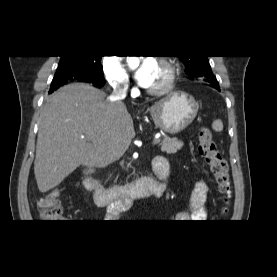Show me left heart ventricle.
Instances as JSON below:
<instances>
[{
    "mask_svg": "<svg viewBox=\"0 0 277 277\" xmlns=\"http://www.w3.org/2000/svg\"><path fill=\"white\" fill-rule=\"evenodd\" d=\"M165 78H166V70L160 63H157V67L155 69L150 88H154L161 85L164 82Z\"/></svg>",
    "mask_w": 277,
    "mask_h": 277,
    "instance_id": "left-heart-ventricle-1",
    "label": "left heart ventricle"
}]
</instances>
